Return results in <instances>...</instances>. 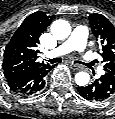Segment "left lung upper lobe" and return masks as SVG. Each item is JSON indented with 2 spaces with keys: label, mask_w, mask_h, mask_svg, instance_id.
<instances>
[{
  "label": "left lung upper lobe",
  "mask_w": 115,
  "mask_h": 119,
  "mask_svg": "<svg viewBox=\"0 0 115 119\" xmlns=\"http://www.w3.org/2000/svg\"><path fill=\"white\" fill-rule=\"evenodd\" d=\"M91 30L102 47L104 70L106 74L115 77V27L101 14L89 16Z\"/></svg>",
  "instance_id": "left-lung-upper-lobe-1"
}]
</instances>
